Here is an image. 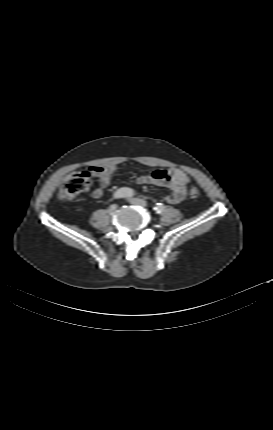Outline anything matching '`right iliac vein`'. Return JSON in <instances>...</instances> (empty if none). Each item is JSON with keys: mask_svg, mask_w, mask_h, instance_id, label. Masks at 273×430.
I'll list each match as a JSON object with an SVG mask.
<instances>
[{"mask_svg": "<svg viewBox=\"0 0 273 430\" xmlns=\"http://www.w3.org/2000/svg\"><path fill=\"white\" fill-rule=\"evenodd\" d=\"M116 209H117V205H116V204H113V205H111V206L108 208V212L112 213V212H114Z\"/></svg>", "mask_w": 273, "mask_h": 430, "instance_id": "obj_1", "label": "right iliac vein"}]
</instances>
